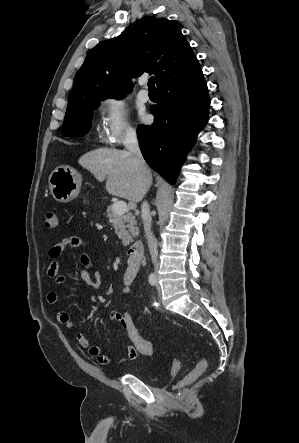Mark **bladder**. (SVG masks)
<instances>
[{
	"mask_svg": "<svg viewBox=\"0 0 299 443\" xmlns=\"http://www.w3.org/2000/svg\"><path fill=\"white\" fill-rule=\"evenodd\" d=\"M131 374L140 378L142 381L150 385H158L161 382H163L167 377V374L157 373L143 364H138L137 366H135L132 369Z\"/></svg>",
	"mask_w": 299,
	"mask_h": 443,
	"instance_id": "obj_1",
	"label": "bladder"
}]
</instances>
